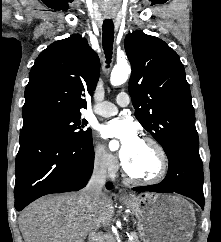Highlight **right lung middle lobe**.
<instances>
[{
    "label": "right lung middle lobe",
    "mask_w": 221,
    "mask_h": 242,
    "mask_svg": "<svg viewBox=\"0 0 221 242\" xmlns=\"http://www.w3.org/2000/svg\"><path fill=\"white\" fill-rule=\"evenodd\" d=\"M81 114L67 117L50 118L23 125L21 133L49 132L63 136L68 140L83 141L92 136L91 129L83 130L86 121H80Z\"/></svg>",
    "instance_id": "right-lung-middle-lobe-1"
}]
</instances>
